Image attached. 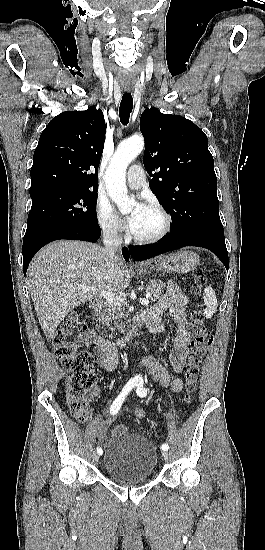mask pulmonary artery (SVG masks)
<instances>
[{
    "mask_svg": "<svg viewBox=\"0 0 265 550\" xmlns=\"http://www.w3.org/2000/svg\"><path fill=\"white\" fill-rule=\"evenodd\" d=\"M127 184L131 189H140L145 184V172L141 165H132L127 173Z\"/></svg>",
    "mask_w": 265,
    "mask_h": 550,
    "instance_id": "1",
    "label": "pulmonary artery"
}]
</instances>
